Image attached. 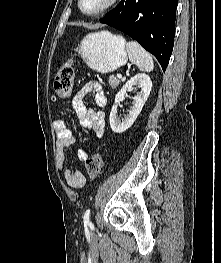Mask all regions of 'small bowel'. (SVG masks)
Wrapping results in <instances>:
<instances>
[{"instance_id":"c3829d8e","label":"small bowel","mask_w":221,"mask_h":263,"mask_svg":"<svg viewBox=\"0 0 221 263\" xmlns=\"http://www.w3.org/2000/svg\"><path fill=\"white\" fill-rule=\"evenodd\" d=\"M92 93L94 95V101L99 107H103L106 104V97L103 91V87L98 81L87 82L81 90L77 93L73 101V107L79 117V120L84 128L91 134L101 138L104 134L105 122L104 113L100 110H93L87 108L83 102V98ZM54 129L57 134L56 141V163L60 172L66 182L74 187L78 188L84 185L85 177L80 171H73L64 167L65 162V148L75 143V135L67 124L63 120L54 121ZM88 157V151L86 149L78 150V158L83 161Z\"/></svg>"}]
</instances>
